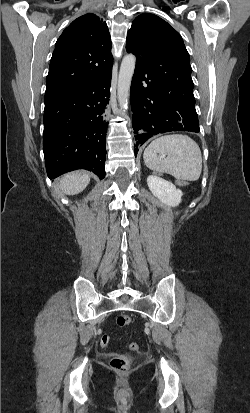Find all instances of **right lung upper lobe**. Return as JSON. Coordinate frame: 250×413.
<instances>
[{
  "instance_id": "1",
  "label": "right lung upper lobe",
  "mask_w": 250,
  "mask_h": 413,
  "mask_svg": "<svg viewBox=\"0 0 250 413\" xmlns=\"http://www.w3.org/2000/svg\"><path fill=\"white\" fill-rule=\"evenodd\" d=\"M111 47L106 22L92 13L74 20L56 42L45 94L82 86L104 76L112 68Z\"/></svg>"
}]
</instances>
